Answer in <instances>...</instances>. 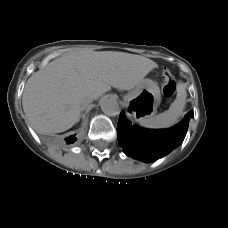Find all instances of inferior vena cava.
<instances>
[{
  "instance_id": "1",
  "label": "inferior vena cava",
  "mask_w": 228,
  "mask_h": 228,
  "mask_svg": "<svg viewBox=\"0 0 228 228\" xmlns=\"http://www.w3.org/2000/svg\"><path fill=\"white\" fill-rule=\"evenodd\" d=\"M93 101V99L90 96H84L79 101V108L80 110H85L88 105Z\"/></svg>"
}]
</instances>
